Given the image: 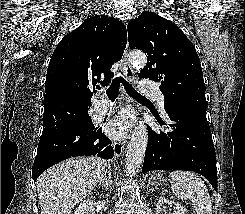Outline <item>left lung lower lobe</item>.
<instances>
[{
	"mask_svg": "<svg viewBox=\"0 0 245 214\" xmlns=\"http://www.w3.org/2000/svg\"><path fill=\"white\" fill-rule=\"evenodd\" d=\"M206 110L192 106L167 112L172 132L156 133L149 128L143 173L156 169L194 171L217 191L215 149Z\"/></svg>",
	"mask_w": 245,
	"mask_h": 214,
	"instance_id": "obj_1",
	"label": "left lung lower lobe"
}]
</instances>
